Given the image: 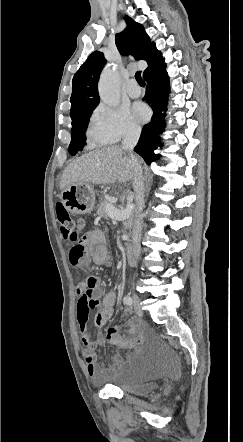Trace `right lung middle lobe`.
<instances>
[{"label":"right lung middle lobe","mask_w":243,"mask_h":442,"mask_svg":"<svg viewBox=\"0 0 243 442\" xmlns=\"http://www.w3.org/2000/svg\"><path fill=\"white\" fill-rule=\"evenodd\" d=\"M92 111L93 110L84 112L72 121L71 143L69 145V153L71 155H75L86 143L84 134Z\"/></svg>","instance_id":"obj_1"}]
</instances>
